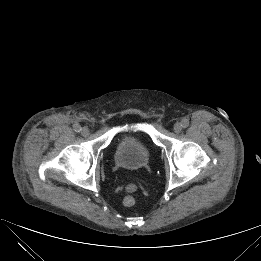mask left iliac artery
<instances>
[{"label":"left iliac artery","instance_id":"left-iliac-artery-1","mask_svg":"<svg viewBox=\"0 0 261 261\" xmlns=\"http://www.w3.org/2000/svg\"><path fill=\"white\" fill-rule=\"evenodd\" d=\"M181 126L183 128H187L189 126V120L188 119H183L181 122Z\"/></svg>","mask_w":261,"mask_h":261}]
</instances>
